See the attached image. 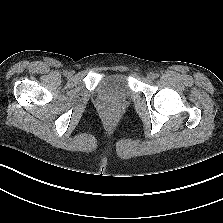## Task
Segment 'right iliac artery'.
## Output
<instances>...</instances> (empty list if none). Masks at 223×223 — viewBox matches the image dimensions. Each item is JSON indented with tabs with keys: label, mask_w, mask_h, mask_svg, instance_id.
<instances>
[{
	"label": "right iliac artery",
	"mask_w": 223,
	"mask_h": 223,
	"mask_svg": "<svg viewBox=\"0 0 223 223\" xmlns=\"http://www.w3.org/2000/svg\"><path fill=\"white\" fill-rule=\"evenodd\" d=\"M67 74H68V71H65V72H64V75H67Z\"/></svg>",
	"instance_id": "1"
}]
</instances>
